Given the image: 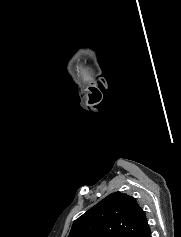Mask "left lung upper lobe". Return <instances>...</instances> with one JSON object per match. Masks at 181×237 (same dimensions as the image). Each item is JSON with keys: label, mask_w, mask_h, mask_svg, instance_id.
<instances>
[{"label": "left lung upper lobe", "mask_w": 181, "mask_h": 237, "mask_svg": "<svg viewBox=\"0 0 181 237\" xmlns=\"http://www.w3.org/2000/svg\"><path fill=\"white\" fill-rule=\"evenodd\" d=\"M147 227L136 199L114 192L76 219L68 237H140Z\"/></svg>", "instance_id": "left-lung-upper-lobe-1"}]
</instances>
